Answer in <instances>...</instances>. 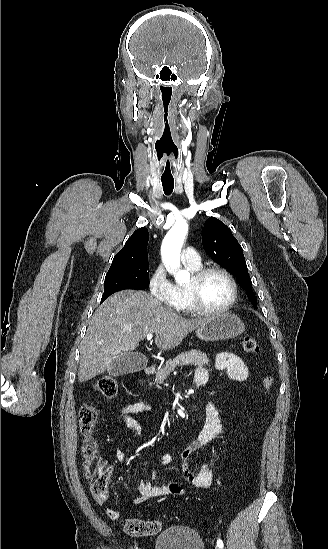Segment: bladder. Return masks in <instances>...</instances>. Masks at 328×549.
Masks as SVG:
<instances>
[{
  "instance_id": "31cf9c89",
  "label": "bladder",
  "mask_w": 328,
  "mask_h": 549,
  "mask_svg": "<svg viewBox=\"0 0 328 549\" xmlns=\"http://www.w3.org/2000/svg\"><path fill=\"white\" fill-rule=\"evenodd\" d=\"M203 543L198 532L188 527H174L158 535L156 549H202Z\"/></svg>"
}]
</instances>
